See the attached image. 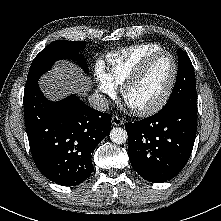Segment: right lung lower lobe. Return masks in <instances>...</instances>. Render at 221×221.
<instances>
[{
  "mask_svg": "<svg viewBox=\"0 0 221 221\" xmlns=\"http://www.w3.org/2000/svg\"><path fill=\"white\" fill-rule=\"evenodd\" d=\"M25 126L33 160L49 180L75 186L93 171L91 154L111 129V116L78 97L52 102L37 83L24 90Z\"/></svg>",
  "mask_w": 221,
  "mask_h": 221,
  "instance_id": "right-lung-lower-lobe-1",
  "label": "right lung lower lobe"
}]
</instances>
